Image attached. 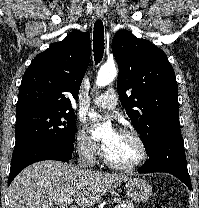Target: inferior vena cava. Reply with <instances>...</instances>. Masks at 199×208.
<instances>
[{
	"mask_svg": "<svg viewBox=\"0 0 199 208\" xmlns=\"http://www.w3.org/2000/svg\"><path fill=\"white\" fill-rule=\"evenodd\" d=\"M78 164H79V167H80V168H83V169L88 168V166H87V159H86V157L83 155L82 151H81V153H80V155H79V158H78Z\"/></svg>",
	"mask_w": 199,
	"mask_h": 208,
	"instance_id": "obj_1",
	"label": "inferior vena cava"
}]
</instances>
